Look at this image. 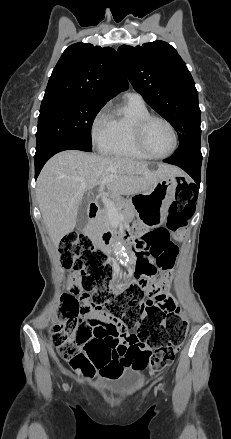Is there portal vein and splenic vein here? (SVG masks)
Returning a JSON list of instances; mask_svg holds the SVG:
<instances>
[{
    "mask_svg": "<svg viewBox=\"0 0 231 439\" xmlns=\"http://www.w3.org/2000/svg\"><path fill=\"white\" fill-rule=\"evenodd\" d=\"M112 180H113V177H106V178L102 181V184H101V187H100L99 193H100V196H101V198H102V201H103L104 205H105L106 208L109 210L110 218H112V219H119V214H118L117 208L115 207L114 202L111 201L110 199L106 198V196L104 195V192H103V190H104V185H105L106 183L111 182Z\"/></svg>",
    "mask_w": 231,
    "mask_h": 439,
    "instance_id": "obj_1",
    "label": "portal vein and splenic vein"
}]
</instances>
